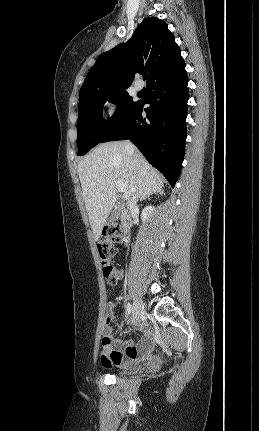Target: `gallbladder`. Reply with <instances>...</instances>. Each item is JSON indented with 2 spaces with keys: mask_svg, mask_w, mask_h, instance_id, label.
Masks as SVG:
<instances>
[{
  "mask_svg": "<svg viewBox=\"0 0 259 431\" xmlns=\"http://www.w3.org/2000/svg\"><path fill=\"white\" fill-rule=\"evenodd\" d=\"M121 203H117L109 218V223L116 221L120 216Z\"/></svg>",
  "mask_w": 259,
  "mask_h": 431,
  "instance_id": "bac80fb5",
  "label": "gallbladder"
}]
</instances>
